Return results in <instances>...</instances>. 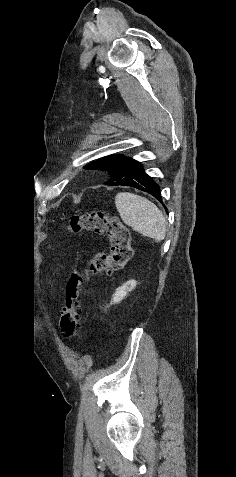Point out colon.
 I'll return each instance as SVG.
<instances>
[{
  "mask_svg": "<svg viewBox=\"0 0 236 477\" xmlns=\"http://www.w3.org/2000/svg\"><path fill=\"white\" fill-rule=\"evenodd\" d=\"M70 230L80 234L94 232L105 236L110 244L109 253H97L90 257L83 270H75L66 285V301L59 326L66 338L73 337L78 329L82 286L88 275H100L123 268L133 257L130 230L107 212H85L74 215Z\"/></svg>",
  "mask_w": 236,
  "mask_h": 477,
  "instance_id": "1",
  "label": "colon"
}]
</instances>
